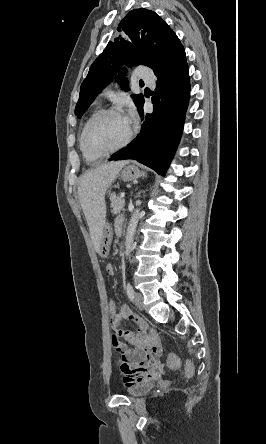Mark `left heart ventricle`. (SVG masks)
Here are the masks:
<instances>
[{"label": "left heart ventricle", "mask_w": 266, "mask_h": 444, "mask_svg": "<svg viewBox=\"0 0 266 444\" xmlns=\"http://www.w3.org/2000/svg\"><path fill=\"white\" fill-rule=\"evenodd\" d=\"M129 129L130 124L124 116L106 115L91 126L86 141L92 150L103 152L121 144Z\"/></svg>", "instance_id": "left-heart-ventricle-1"}]
</instances>
